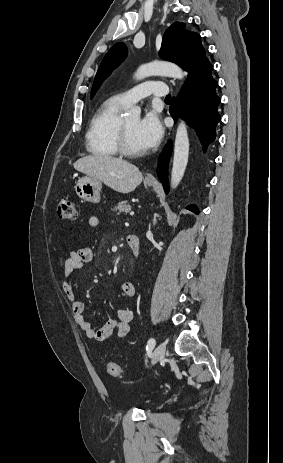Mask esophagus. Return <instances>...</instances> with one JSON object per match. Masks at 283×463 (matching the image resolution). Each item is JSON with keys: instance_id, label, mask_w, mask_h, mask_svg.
<instances>
[{"instance_id": "1", "label": "esophagus", "mask_w": 283, "mask_h": 463, "mask_svg": "<svg viewBox=\"0 0 283 463\" xmlns=\"http://www.w3.org/2000/svg\"><path fill=\"white\" fill-rule=\"evenodd\" d=\"M145 180L148 181V182H156V178L151 173L146 175Z\"/></svg>"}]
</instances>
